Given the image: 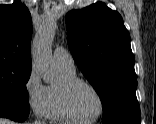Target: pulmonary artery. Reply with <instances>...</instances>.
Instances as JSON below:
<instances>
[{"label": "pulmonary artery", "mask_w": 156, "mask_h": 124, "mask_svg": "<svg viewBox=\"0 0 156 124\" xmlns=\"http://www.w3.org/2000/svg\"><path fill=\"white\" fill-rule=\"evenodd\" d=\"M54 61L61 67L75 70V63L72 55L63 47H56L53 52Z\"/></svg>", "instance_id": "e3ab8cb5"}]
</instances>
